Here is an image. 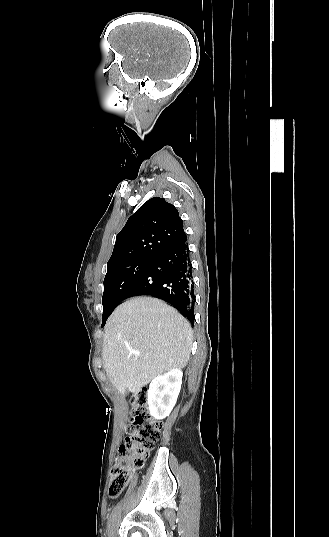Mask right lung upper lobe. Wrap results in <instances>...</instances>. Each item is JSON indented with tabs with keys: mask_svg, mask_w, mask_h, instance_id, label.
<instances>
[{
	"mask_svg": "<svg viewBox=\"0 0 329 537\" xmlns=\"http://www.w3.org/2000/svg\"><path fill=\"white\" fill-rule=\"evenodd\" d=\"M185 235L178 210L163 198H151L116 236L107 271L133 260L154 259Z\"/></svg>",
	"mask_w": 329,
	"mask_h": 537,
	"instance_id": "cb5924a9",
	"label": "right lung upper lobe"
}]
</instances>
